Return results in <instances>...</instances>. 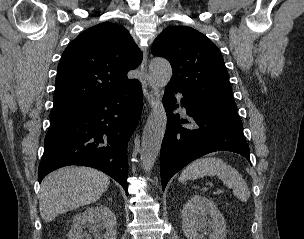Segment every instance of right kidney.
Returning <instances> with one entry per match:
<instances>
[{
  "mask_svg": "<svg viewBox=\"0 0 304 239\" xmlns=\"http://www.w3.org/2000/svg\"><path fill=\"white\" fill-rule=\"evenodd\" d=\"M116 225L115 214L108 207H89L74 217L69 239H116ZM85 226L89 233L83 231Z\"/></svg>",
  "mask_w": 304,
  "mask_h": 239,
  "instance_id": "ca27d5eb",
  "label": "right kidney"
}]
</instances>
